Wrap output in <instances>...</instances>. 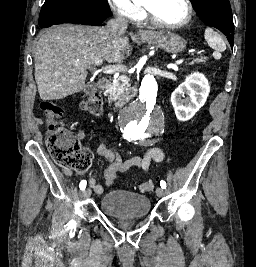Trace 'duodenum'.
<instances>
[{
    "label": "duodenum",
    "mask_w": 256,
    "mask_h": 267,
    "mask_svg": "<svg viewBox=\"0 0 256 267\" xmlns=\"http://www.w3.org/2000/svg\"><path fill=\"white\" fill-rule=\"evenodd\" d=\"M97 84H98V88L100 90H103L104 91V90H106L108 88V86L110 84V80L107 77H101L98 80ZM127 100L128 101H133L134 100V96L133 95L132 96H128L127 97ZM127 100L126 99H121L120 100V103H117L116 104L117 108L122 107V104H126L127 103Z\"/></svg>",
    "instance_id": "410a0bca"
}]
</instances>
